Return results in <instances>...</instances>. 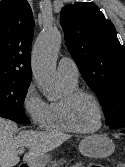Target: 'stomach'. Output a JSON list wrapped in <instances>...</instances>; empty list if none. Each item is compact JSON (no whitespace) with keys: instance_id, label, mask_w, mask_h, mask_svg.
<instances>
[{"instance_id":"obj_1","label":"stomach","mask_w":125,"mask_h":167,"mask_svg":"<svg viewBox=\"0 0 125 167\" xmlns=\"http://www.w3.org/2000/svg\"><path fill=\"white\" fill-rule=\"evenodd\" d=\"M78 148L79 152L84 156L90 158H105L114 152L115 145L111 139L104 135H92L82 139ZM50 159V154L46 153L27 162V167H46Z\"/></svg>"}]
</instances>
